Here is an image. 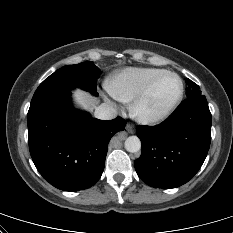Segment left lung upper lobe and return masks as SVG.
Masks as SVG:
<instances>
[{"instance_id": "obj_1", "label": "left lung upper lobe", "mask_w": 233, "mask_h": 233, "mask_svg": "<svg viewBox=\"0 0 233 233\" xmlns=\"http://www.w3.org/2000/svg\"><path fill=\"white\" fill-rule=\"evenodd\" d=\"M186 83L188 85V87L186 88V96L188 98L201 95V92L199 91V87L197 84H195L194 82H192L189 79H186Z\"/></svg>"}]
</instances>
